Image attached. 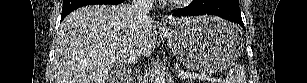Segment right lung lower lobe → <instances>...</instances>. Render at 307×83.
I'll list each match as a JSON object with an SVG mask.
<instances>
[{"instance_id":"right-lung-lower-lobe-1","label":"right lung lower lobe","mask_w":307,"mask_h":83,"mask_svg":"<svg viewBox=\"0 0 307 83\" xmlns=\"http://www.w3.org/2000/svg\"><path fill=\"white\" fill-rule=\"evenodd\" d=\"M124 2V0H64L63 9L61 14V21L73 10L87 6V5H101V4H111L117 5Z\"/></svg>"}]
</instances>
